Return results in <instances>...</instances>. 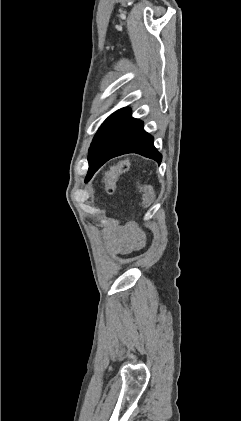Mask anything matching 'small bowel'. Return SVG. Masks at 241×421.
I'll list each match as a JSON object with an SVG mask.
<instances>
[{
  "mask_svg": "<svg viewBox=\"0 0 241 421\" xmlns=\"http://www.w3.org/2000/svg\"><path fill=\"white\" fill-rule=\"evenodd\" d=\"M111 242L117 253L139 249L144 244V235L133 226L120 228L111 235Z\"/></svg>",
  "mask_w": 241,
  "mask_h": 421,
  "instance_id": "c3829d8e",
  "label": "small bowel"
}]
</instances>
